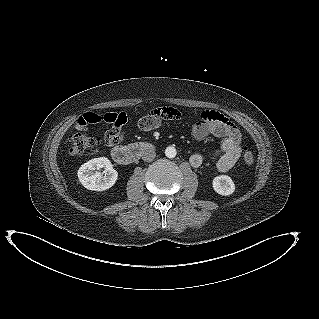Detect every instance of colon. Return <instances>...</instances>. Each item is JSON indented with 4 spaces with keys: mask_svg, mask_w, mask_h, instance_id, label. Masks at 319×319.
I'll return each mask as SVG.
<instances>
[{
    "mask_svg": "<svg viewBox=\"0 0 319 319\" xmlns=\"http://www.w3.org/2000/svg\"><path fill=\"white\" fill-rule=\"evenodd\" d=\"M103 120L116 127H120L127 123L128 117L124 112L107 113L103 116ZM68 140L69 154L72 156L83 154L88 150L95 148L99 144L98 138L80 132L71 134ZM242 158L244 162L251 164L255 160V154L248 147H244L242 150Z\"/></svg>",
    "mask_w": 319,
    "mask_h": 319,
    "instance_id": "5ec220e1",
    "label": "colon"
}]
</instances>
